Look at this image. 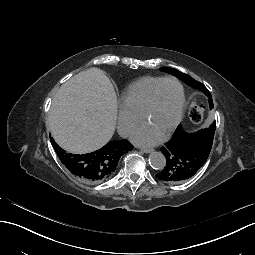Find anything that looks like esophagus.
<instances>
[{
	"label": "esophagus",
	"mask_w": 255,
	"mask_h": 255,
	"mask_svg": "<svg viewBox=\"0 0 255 255\" xmlns=\"http://www.w3.org/2000/svg\"><path fill=\"white\" fill-rule=\"evenodd\" d=\"M144 153H149L152 151V148H147V147H141L140 148Z\"/></svg>",
	"instance_id": "obj_1"
}]
</instances>
